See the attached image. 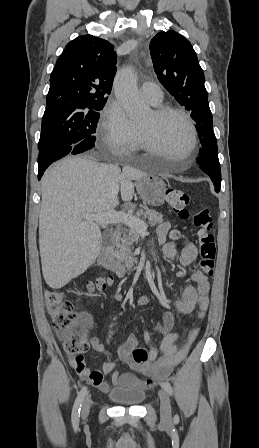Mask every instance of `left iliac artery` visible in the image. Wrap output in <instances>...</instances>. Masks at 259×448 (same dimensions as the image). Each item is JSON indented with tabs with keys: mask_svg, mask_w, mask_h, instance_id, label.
I'll return each instance as SVG.
<instances>
[{
	"mask_svg": "<svg viewBox=\"0 0 259 448\" xmlns=\"http://www.w3.org/2000/svg\"><path fill=\"white\" fill-rule=\"evenodd\" d=\"M162 387L167 391V393H168L169 395H172V394H173L172 386H171V384H170L169 382H163V383H162ZM174 421H175V422H178V421H179V417H178V415H176V416L174 417Z\"/></svg>",
	"mask_w": 259,
	"mask_h": 448,
	"instance_id": "1",
	"label": "left iliac artery"
}]
</instances>
